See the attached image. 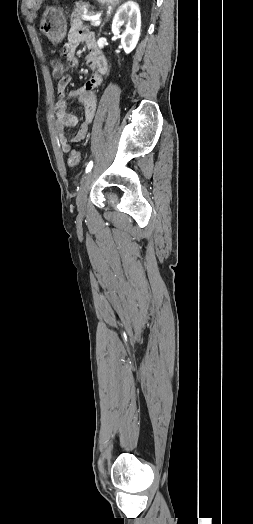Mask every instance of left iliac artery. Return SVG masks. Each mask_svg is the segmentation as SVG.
<instances>
[{"mask_svg":"<svg viewBox=\"0 0 253 524\" xmlns=\"http://www.w3.org/2000/svg\"><path fill=\"white\" fill-rule=\"evenodd\" d=\"M92 167H93V161H90V162L88 163L87 167H86L85 173L90 172L91 169H92Z\"/></svg>","mask_w":253,"mask_h":524,"instance_id":"obj_1","label":"left iliac artery"}]
</instances>
